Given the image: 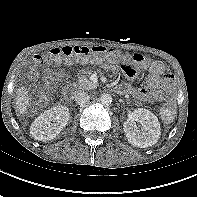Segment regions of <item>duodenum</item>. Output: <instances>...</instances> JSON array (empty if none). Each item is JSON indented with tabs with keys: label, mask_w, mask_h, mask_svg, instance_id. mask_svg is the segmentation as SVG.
<instances>
[{
	"label": "duodenum",
	"mask_w": 197,
	"mask_h": 197,
	"mask_svg": "<svg viewBox=\"0 0 197 197\" xmlns=\"http://www.w3.org/2000/svg\"><path fill=\"white\" fill-rule=\"evenodd\" d=\"M115 91L120 93V94H125L126 93V89L123 86H118L115 88Z\"/></svg>",
	"instance_id": "duodenum-1"
}]
</instances>
